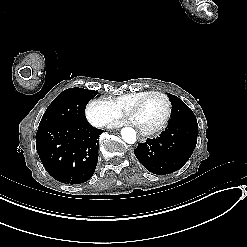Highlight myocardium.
I'll return each mask as SVG.
<instances>
[{"label": "myocardium", "mask_w": 247, "mask_h": 247, "mask_svg": "<svg viewBox=\"0 0 247 247\" xmlns=\"http://www.w3.org/2000/svg\"><path fill=\"white\" fill-rule=\"evenodd\" d=\"M154 95H159V96L163 97L165 99V101H166L165 116H164L163 120L161 121V123L158 124L155 127H142L139 124H137L136 120H138L139 117H140V110H141V107H142L143 100L136 101L134 103V105H133L135 107V109L137 110V112H138V115L135 118L134 124L145 135H152V134L157 133L160 130H162L167 125L168 121L170 120L171 114H172V102H171V99L169 98V96L167 94L161 92V91L153 90V91L148 92L146 97H150V96H154Z\"/></svg>", "instance_id": "myocardium-1"}]
</instances>
